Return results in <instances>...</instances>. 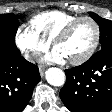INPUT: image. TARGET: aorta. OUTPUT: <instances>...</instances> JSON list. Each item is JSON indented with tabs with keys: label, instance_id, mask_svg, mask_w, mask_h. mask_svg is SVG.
Wrapping results in <instances>:
<instances>
[{
	"label": "aorta",
	"instance_id": "aorta-1",
	"mask_svg": "<svg viewBox=\"0 0 112 112\" xmlns=\"http://www.w3.org/2000/svg\"><path fill=\"white\" fill-rule=\"evenodd\" d=\"M46 80L52 86H62L65 83V73L56 67L49 68L46 71Z\"/></svg>",
	"mask_w": 112,
	"mask_h": 112
}]
</instances>
